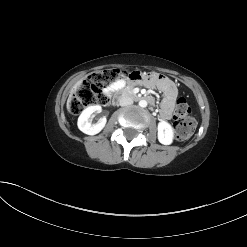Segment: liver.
Masks as SVG:
<instances>
[{
	"label": "liver",
	"mask_w": 247,
	"mask_h": 247,
	"mask_svg": "<svg viewBox=\"0 0 247 247\" xmlns=\"http://www.w3.org/2000/svg\"><path fill=\"white\" fill-rule=\"evenodd\" d=\"M83 79L79 80L74 86L71 91V94L69 95L68 101H67V109H70V102L72 100V94L82 85Z\"/></svg>",
	"instance_id": "1"
}]
</instances>
